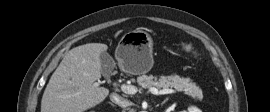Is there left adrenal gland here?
<instances>
[{"instance_id":"obj_1","label":"left adrenal gland","mask_w":270,"mask_h":112,"mask_svg":"<svg viewBox=\"0 0 270 112\" xmlns=\"http://www.w3.org/2000/svg\"><path fill=\"white\" fill-rule=\"evenodd\" d=\"M166 101H167V99L163 101L162 105H163L164 103H166Z\"/></svg>"}]
</instances>
